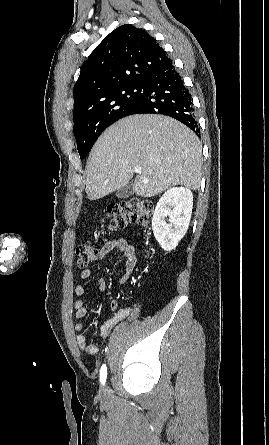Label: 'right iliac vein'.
<instances>
[{"label": "right iliac vein", "mask_w": 269, "mask_h": 445, "mask_svg": "<svg viewBox=\"0 0 269 445\" xmlns=\"http://www.w3.org/2000/svg\"><path fill=\"white\" fill-rule=\"evenodd\" d=\"M100 393H101V396H102V397L107 398V397L109 396V390H108V387H104V388H102Z\"/></svg>", "instance_id": "1"}]
</instances>
